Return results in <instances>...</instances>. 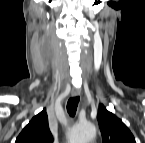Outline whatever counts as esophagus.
<instances>
[{
    "label": "esophagus",
    "mask_w": 145,
    "mask_h": 143,
    "mask_svg": "<svg viewBox=\"0 0 145 143\" xmlns=\"http://www.w3.org/2000/svg\"><path fill=\"white\" fill-rule=\"evenodd\" d=\"M71 94H72L73 97L79 96L80 95V89L77 88V87H73L72 91H71Z\"/></svg>",
    "instance_id": "obj_1"
}]
</instances>
